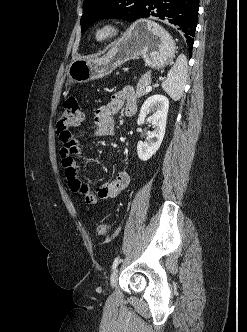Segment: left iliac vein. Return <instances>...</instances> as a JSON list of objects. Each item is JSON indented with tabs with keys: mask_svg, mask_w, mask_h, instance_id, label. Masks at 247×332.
Wrapping results in <instances>:
<instances>
[{
	"mask_svg": "<svg viewBox=\"0 0 247 332\" xmlns=\"http://www.w3.org/2000/svg\"><path fill=\"white\" fill-rule=\"evenodd\" d=\"M117 282H118V269H115L113 271V273L111 274V277H110V285L111 287H115L117 285Z\"/></svg>",
	"mask_w": 247,
	"mask_h": 332,
	"instance_id": "left-iliac-vein-1",
	"label": "left iliac vein"
}]
</instances>
